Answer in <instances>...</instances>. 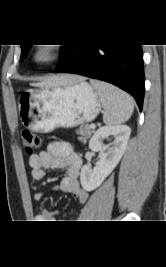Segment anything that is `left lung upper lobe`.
Wrapping results in <instances>:
<instances>
[{"label":"left lung upper lobe","mask_w":166,"mask_h":267,"mask_svg":"<svg viewBox=\"0 0 166 267\" xmlns=\"http://www.w3.org/2000/svg\"><path fill=\"white\" fill-rule=\"evenodd\" d=\"M30 46L31 45H25V44L24 45H21V48H22L21 59H23V58L26 57V55L28 54V51L30 49ZM64 50H65V48L64 49H61V51H60L61 56H62Z\"/></svg>","instance_id":"5c2ea615"}]
</instances>
